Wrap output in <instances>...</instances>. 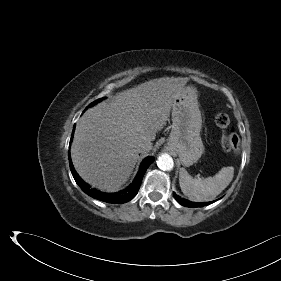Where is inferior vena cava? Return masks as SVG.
I'll list each match as a JSON object with an SVG mask.
<instances>
[{
  "instance_id": "obj_1",
  "label": "inferior vena cava",
  "mask_w": 281,
  "mask_h": 281,
  "mask_svg": "<svg viewBox=\"0 0 281 281\" xmlns=\"http://www.w3.org/2000/svg\"><path fill=\"white\" fill-rule=\"evenodd\" d=\"M150 149V146L146 143H140L138 146H137V151L139 153H143V152H146Z\"/></svg>"
}]
</instances>
